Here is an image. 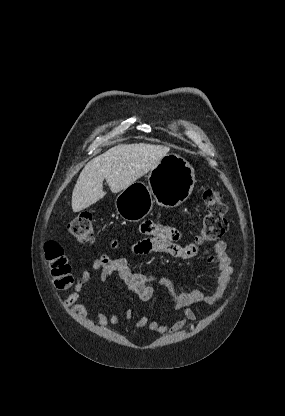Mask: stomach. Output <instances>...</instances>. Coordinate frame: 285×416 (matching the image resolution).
<instances>
[{
	"label": "stomach",
	"mask_w": 285,
	"mask_h": 416,
	"mask_svg": "<svg viewBox=\"0 0 285 416\" xmlns=\"http://www.w3.org/2000/svg\"><path fill=\"white\" fill-rule=\"evenodd\" d=\"M148 186L134 182L115 200L117 214L127 222H139L150 214L154 200L162 208H176L188 200L195 186V172L181 156L167 154L147 176ZM154 196V200H152Z\"/></svg>",
	"instance_id": "obj_1"
}]
</instances>
